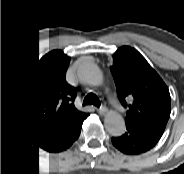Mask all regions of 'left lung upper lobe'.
Wrapping results in <instances>:
<instances>
[{"label": "left lung upper lobe", "instance_id": "5c2ea615", "mask_svg": "<svg viewBox=\"0 0 184 174\" xmlns=\"http://www.w3.org/2000/svg\"><path fill=\"white\" fill-rule=\"evenodd\" d=\"M111 72L118 98L128 108L126 126L162 135L170 116V94L160 76L131 47L114 54Z\"/></svg>", "mask_w": 184, "mask_h": 174}]
</instances>
